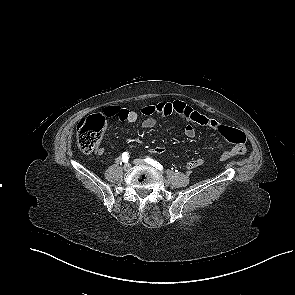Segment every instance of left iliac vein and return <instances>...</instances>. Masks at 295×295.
I'll list each match as a JSON object with an SVG mask.
<instances>
[{
  "label": "left iliac vein",
  "mask_w": 295,
  "mask_h": 295,
  "mask_svg": "<svg viewBox=\"0 0 295 295\" xmlns=\"http://www.w3.org/2000/svg\"><path fill=\"white\" fill-rule=\"evenodd\" d=\"M133 163H134L135 165H138V166H143V165L146 164L145 161L142 160V159H135V160L133 161Z\"/></svg>",
  "instance_id": "1"
}]
</instances>
